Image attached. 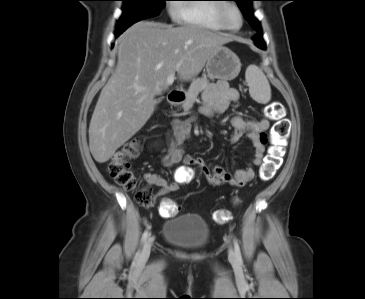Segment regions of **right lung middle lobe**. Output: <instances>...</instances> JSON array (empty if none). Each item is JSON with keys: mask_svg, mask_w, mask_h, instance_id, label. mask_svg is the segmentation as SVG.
Wrapping results in <instances>:
<instances>
[{"mask_svg": "<svg viewBox=\"0 0 365 299\" xmlns=\"http://www.w3.org/2000/svg\"><path fill=\"white\" fill-rule=\"evenodd\" d=\"M124 2L122 15L117 26L135 23L156 16L164 8L166 0H121Z\"/></svg>", "mask_w": 365, "mask_h": 299, "instance_id": "1", "label": "right lung middle lobe"}]
</instances>
